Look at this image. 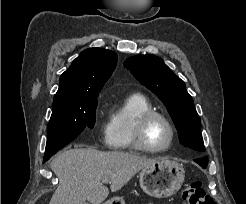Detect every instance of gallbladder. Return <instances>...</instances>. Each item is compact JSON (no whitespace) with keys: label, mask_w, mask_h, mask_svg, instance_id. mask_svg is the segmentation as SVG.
Wrapping results in <instances>:
<instances>
[{"label":"gallbladder","mask_w":246,"mask_h":204,"mask_svg":"<svg viewBox=\"0 0 246 204\" xmlns=\"http://www.w3.org/2000/svg\"><path fill=\"white\" fill-rule=\"evenodd\" d=\"M83 204H90V203H88V202H84Z\"/></svg>","instance_id":"bac80fb5"}]
</instances>
